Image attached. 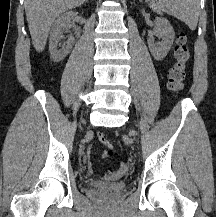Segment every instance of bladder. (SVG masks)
<instances>
[{
    "mask_svg": "<svg viewBox=\"0 0 216 217\" xmlns=\"http://www.w3.org/2000/svg\"><path fill=\"white\" fill-rule=\"evenodd\" d=\"M96 190H101V191H106L110 193H120L126 188L125 183H116L112 185H105V186H99V185H94L93 186Z\"/></svg>",
    "mask_w": 216,
    "mask_h": 217,
    "instance_id": "bladder-1",
    "label": "bladder"
}]
</instances>
